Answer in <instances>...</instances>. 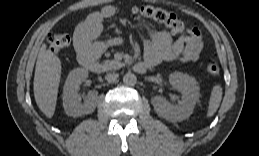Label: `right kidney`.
I'll return each mask as SVG.
<instances>
[{
  "label": "right kidney",
  "mask_w": 259,
  "mask_h": 156,
  "mask_svg": "<svg viewBox=\"0 0 259 156\" xmlns=\"http://www.w3.org/2000/svg\"><path fill=\"white\" fill-rule=\"evenodd\" d=\"M88 77V71L84 68L72 70L65 82L63 89V107L69 116L79 117L92 113L97 105L98 92L90 91L84 103H81L78 94L79 86Z\"/></svg>",
  "instance_id": "1"
}]
</instances>
